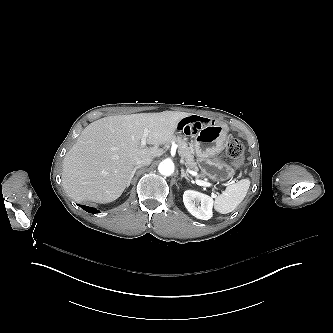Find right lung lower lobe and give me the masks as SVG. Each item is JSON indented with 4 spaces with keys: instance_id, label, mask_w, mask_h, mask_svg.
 Wrapping results in <instances>:
<instances>
[{
    "instance_id": "obj_1",
    "label": "right lung lower lobe",
    "mask_w": 333,
    "mask_h": 333,
    "mask_svg": "<svg viewBox=\"0 0 333 333\" xmlns=\"http://www.w3.org/2000/svg\"><path fill=\"white\" fill-rule=\"evenodd\" d=\"M81 208L84 209L85 211L89 212V213H99V210L92 208V207H88V206H84L81 205Z\"/></svg>"
}]
</instances>
